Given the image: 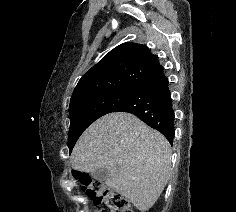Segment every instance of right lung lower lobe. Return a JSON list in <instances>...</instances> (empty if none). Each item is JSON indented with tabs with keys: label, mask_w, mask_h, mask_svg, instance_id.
Returning <instances> with one entry per match:
<instances>
[{
	"label": "right lung lower lobe",
	"mask_w": 236,
	"mask_h": 212,
	"mask_svg": "<svg viewBox=\"0 0 236 212\" xmlns=\"http://www.w3.org/2000/svg\"><path fill=\"white\" fill-rule=\"evenodd\" d=\"M114 112L136 115L148 126L161 132L172 144L174 137V110L168 78L163 67L144 76L129 97Z\"/></svg>",
	"instance_id": "right-lung-lower-lobe-1"
}]
</instances>
